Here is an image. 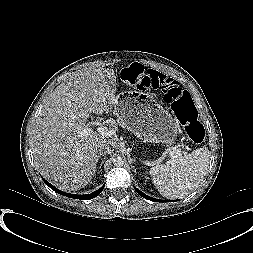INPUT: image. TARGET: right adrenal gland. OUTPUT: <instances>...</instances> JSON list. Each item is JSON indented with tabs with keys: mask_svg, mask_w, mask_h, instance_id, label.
Instances as JSON below:
<instances>
[{
	"mask_svg": "<svg viewBox=\"0 0 253 253\" xmlns=\"http://www.w3.org/2000/svg\"><path fill=\"white\" fill-rule=\"evenodd\" d=\"M110 153H111L110 151H105V152H103V153L101 154V156H105L106 154H110ZM106 158H107V157L105 156L104 159L102 160L100 166L98 167V169H101V167H102V165L104 164Z\"/></svg>",
	"mask_w": 253,
	"mask_h": 253,
	"instance_id": "2a0ac1e0",
	"label": "right adrenal gland"
}]
</instances>
